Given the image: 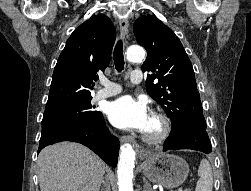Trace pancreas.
<instances>
[{
  "label": "pancreas",
  "instance_id": "obj_1",
  "mask_svg": "<svg viewBox=\"0 0 251 191\" xmlns=\"http://www.w3.org/2000/svg\"><path fill=\"white\" fill-rule=\"evenodd\" d=\"M177 191H183L182 187H179V189H177ZM185 191V189H184Z\"/></svg>",
  "mask_w": 251,
  "mask_h": 191
}]
</instances>
